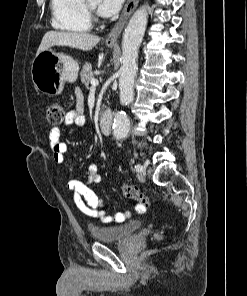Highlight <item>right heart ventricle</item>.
Wrapping results in <instances>:
<instances>
[{"instance_id": "right-heart-ventricle-1", "label": "right heart ventricle", "mask_w": 247, "mask_h": 296, "mask_svg": "<svg viewBox=\"0 0 247 296\" xmlns=\"http://www.w3.org/2000/svg\"><path fill=\"white\" fill-rule=\"evenodd\" d=\"M51 25L54 29L81 33L91 29L84 0H51Z\"/></svg>"}]
</instances>
